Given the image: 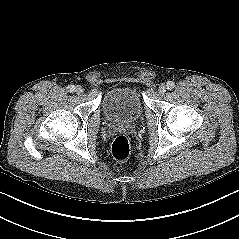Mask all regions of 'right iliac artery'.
Returning <instances> with one entry per match:
<instances>
[{
    "mask_svg": "<svg viewBox=\"0 0 239 239\" xmlns=\"http://www.w3.org/2000/svg\"><path fill=\"white\" fill-rule=\"evenodd\" d=\"M67 90H68L69 92H74L75 86H74V85H69V86L67 87Z\"/></svg>",
    "mask_w": 239,
    "mask_h": 239,
    "instance_id": "82829eb1",
    "label": "right iliac artery"
}]
</instances>
